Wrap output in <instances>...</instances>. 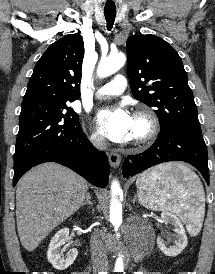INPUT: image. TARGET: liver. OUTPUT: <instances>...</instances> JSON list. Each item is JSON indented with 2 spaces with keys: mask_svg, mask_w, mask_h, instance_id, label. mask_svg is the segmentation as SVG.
Instances as JSON below:
<instances>
[{
  "mask_svg": "<svg viewBox=\"0 0 215 274\" xmlns=\"http://www.w3.org/2000/svg\"><path fill=\"white\" fill-rule=\"evenodd\" d=\"M87 190L85 179L53 162L28 171L16 189L17 230L23 247L35 250L55 227L82 206Z\"/></svg>",
  "mask_w": 215,
  "mask_h": 274,
  "instance_id": "liver-1",
  "label": "liver"
}]
</instances>
